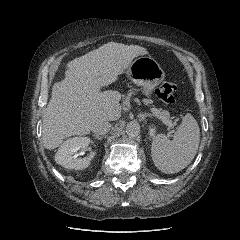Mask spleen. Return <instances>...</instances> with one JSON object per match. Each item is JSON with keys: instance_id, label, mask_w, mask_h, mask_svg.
<instances>
[{"instance_id": "1", "label": "spleen", "mask_w": 240, "mask_h": 240, "mask_svg": "<svg viewBox=\"0 0 240 240\" xmlns=\"http://www.w3.org/2000/svg\"><path fill=\"white\" fill-rule=\"evenodd\" d=\"M199 142L198 123L191 114H186L172 140L162 134L153 139L151 145L152 160L163 173H177L193 160Z\"/></svg>"}]
</instances>
